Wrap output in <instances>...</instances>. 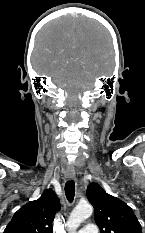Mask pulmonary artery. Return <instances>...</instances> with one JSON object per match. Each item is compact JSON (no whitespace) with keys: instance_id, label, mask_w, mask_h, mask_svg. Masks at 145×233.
Segmentation results:
<instances>
[{"instance_id":"1","label":"pulmonary artery","mask_w":145,"mask_h":233,"mask_svg":"<svg viewBox=\"0 0 145 233\" xmlns=\"http://www.w3.org/2000/svg\"><path fill=\"white\" fill-rule=\"evenodd\" d=\"M78 233H98V229L94 224H89L83 229H80Z\"/></svg>"}]
</instances>
